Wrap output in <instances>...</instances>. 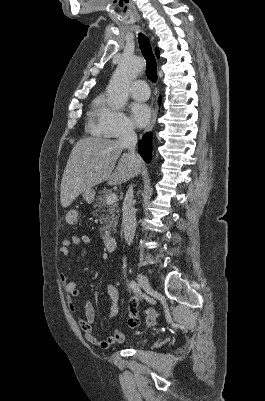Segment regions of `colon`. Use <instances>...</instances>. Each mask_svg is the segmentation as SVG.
I'll list each match as a JSON object with an SVG mask.
<instances>
[{"mask_svg": "<svg viewBox=\"0 0 265 401\" xmlns=\"http://www.w3.org/2000/svg\"><path fill=\"white\" fill-rule=\"evenodd\" d=\"M77 220V211L76 210H69L66 212L64 216V221L67 225H74ZM140 317H145L149 324L154 323L156 318L158 317V313L151 309H144L142 311H136L133 315L129 317V323L132 328H135L139 325Z\"/></svg>", "mask_w": 265, "mask_h": 401, "instance_id": "1", "label": "colon"}]
</instances>
